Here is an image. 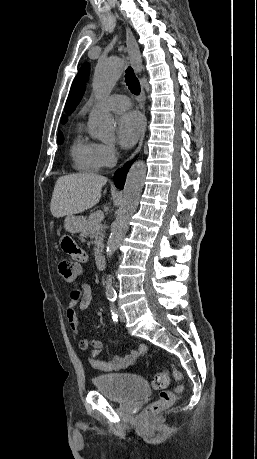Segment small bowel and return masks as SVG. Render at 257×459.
I'll return each mask as SVG.
<instances>
[{
  "mask_svg": "<svg viewBox=\"0 0 257 459\" xmlns=\"http://www.w3.org/2000/svg\"><path fill=\"white\" fill-rule=\"evenodd\" d=\"M59 248L68 258L69 264H88L89 256L83 246H79L78 239H71L70 235H61L58 241ZM92 301L91 288L87 283H80L69 291V302L66 308V317L72 331L79 335L83 331L82 324L77 314L76 308L80 311L88 309ZM79 349L87 351L92 348L88 357L89 364L101 372H113L126 368L136 362L145 352L146 346L140 345L137 349L130 350L123 357H115L110 361L100 359L102 355V342L96 338L84 337L78 342Z\"/></svg>",
  "mask_w": 257,
  "mask_h": 459,
  "instance_id": "c3829d8e",
  "label": "small bowel"
}]
</instances>
